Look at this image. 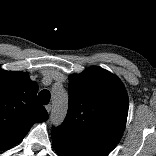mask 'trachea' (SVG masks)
<instances>
[{
    "mask_svg": "<svg viewBox=\"0 0 156 156\" xmlns=\"http://www.w3.org/2000/svg\"><path fill=\"white\" fill-rule=\"evenodd\" d=\"M38 100L43 105H47L50 101V92L48 90H42L38 94Z\"/></svg>",
    "mask_w": 156,
    "mask_h": 156,
    "instance_id": "obj_1",
    "label": "trachea"
}]
</instances>
